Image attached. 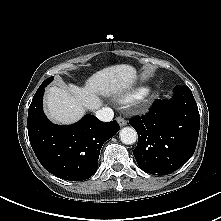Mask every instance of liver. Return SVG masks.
<instances>
[{
	"label": "liver",
	"instance_id": "1",
	"mask_svg": "<svg viewBox=\"0 0 221 221\" xmlns=\"http://www.w3.org/2000/svg\"><path fill=\"white\" fill-rule=\"evenodd\" d=\"M136 79V69L121 64L94 73L83 87L74 84L50 87L45 100L46 113L56 123H74L86 110L95 111L100 108V97L120 95L130 89Z\"/></svg>",
	"mask_w": 221,
	"mask_h": 221
}]
</instances>
